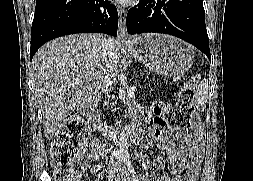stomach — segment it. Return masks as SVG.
Listing matches in <instances>:
<instances>
[{
  "label": "stomach",
  "instance_id": "0dacf381",
  "mask_svg": "<svg viewBox=\"0 0 253 181\" xmlns=\"http://www.w3.org/2000/svg\"><path fill=\"white\" fill-rule=\"evenodd\" d=\"M125 48L134 59L157 75L184 73L194 61L192 49L185 42L164 34L136 36L125 44Z\"/></svg>",
  "mask_w": 253,
  "mask_h": 181
}]
</instances>
